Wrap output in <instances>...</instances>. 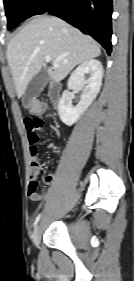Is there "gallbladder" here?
I'll return each mask as SVG.
<instances>
[{"instance_id":"1","label":"gallbladder","mask_w":134,"mask_h":281,"mask_svg":"<svg viewBox=\"0 0 134 281\" xmlns=\"http://www.w3.org/2000/svg\"><path fill=\"white\" fill-rule=\"evenodd\" d=\"M50 77L46 70L39 71L30 81L29 85L27 86V89L24 93L22 103L25 108H28V105L30 101L37 97L46 84L49 82Z\"/></svg>"}]
</instances>
